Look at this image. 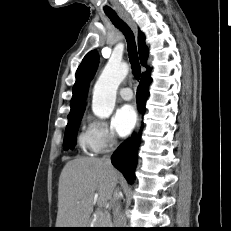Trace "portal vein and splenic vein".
Returning <instances> with one entry per match:
<instances>
[{"instance_id": "obj_1", "label": "portal vein and splenic vein", "mask_w": 231, "mask_h": 231, "mask_svg": "<svg viewBox=\"0 0 231 231\" xmlns=\"http://www.w3.org/2000/svg\"><path fill=\"white\" fill-rule=\"evenodd\" d=\"M98 205H99L100 207H102V202H101V201H98Z\"/></svg>"}]
</instances>
